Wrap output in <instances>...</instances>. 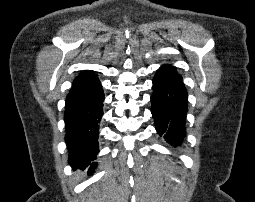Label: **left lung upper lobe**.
Instances as JSON below:
<instances>
[{
	"label": "left lung upper lobe",
	"mask_w": 255,
	"mask_h": 202,
	"mask_svg": "<svg viewBox=\"0 0 255 202\" xmlns=\"http://www.w3.org/2000/svg\"><path fill=\"white\" fill-rule=\"evenodd\" d=\"M158 71L165 72L176 80H181L182 79L181 75L176 73V68L171 66V65H163L159 68Z\"/></svg>",
	"instance_id": "5c2ea615"
}]
</instances>
